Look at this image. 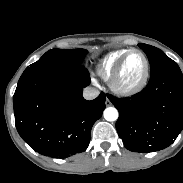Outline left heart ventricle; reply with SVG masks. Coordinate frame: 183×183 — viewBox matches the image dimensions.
Listing matches in <instances>:
<instances>
[{
  "label": "left heart ventricle",
  "mask_w": 183,
  "mask_h": 183,
  "mask_svg": "<svg viewBox=\"0 0 183 183\" xmlns=\"http://www.w3.org/2000/svg\"><path fill=\"white\" fill-rule=\"evenodd\" d=\"M144 62L142 57L137 53H132L127 58L120 80L124 85H132L136 83L142 75Z\"/></svg>",
  "instance_id": "1"
}]
</instances>
